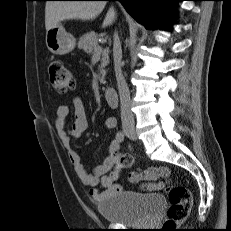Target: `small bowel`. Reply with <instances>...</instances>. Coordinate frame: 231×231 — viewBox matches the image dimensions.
Wrapping results in <instances>:
<instances>
[{
  "mask_svg": "<svg viewBox=\"0 0 231 231\" xmlns=\"http://www.w3.org/2000/svg\"><path fill=\"white\" fill-rule=\"evenodd\" d=\"M74 120L69 128L66 123L70 116L71 108L68 105H60L57 109L55 127L60 138L61 144L66 151L69 163L73 166L79 181L90 188V196L94 201L100 202L110 196L123 192L124 186L119 183L122 165L119 163L117 153L120 149V142L114 138L108 147V155L102 163L96 165L91 171L87 170L81 163L77 152L72 148V141L82 137L87 129V112L83 101L76 97L73 102ZM116 126L114 117H107L104 121L106 129H113ZM165 170V169H164ZM166 174H169L165 170ZM164 185L158 183H146L142 190L157 192L163 189Z\"/></svg>",
  "mask_w": 231,
  "mask_h": 231,
  "instance_id": "c3829d8e",
  "label": "small bowel"
}]
</instances>
